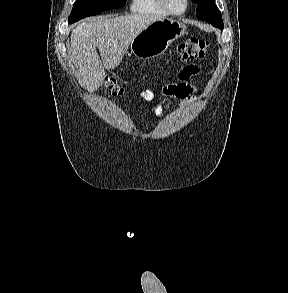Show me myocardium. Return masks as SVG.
I'll return each instance as SVG.
<instances>
[{
    "label": "myocardium",
    "mask_w": 288,
    "mask_h": 293,
    "mask_svg": "<svg viewBox=\"0 0 288 293\" xmlns=\"http://www.w3.org/2000/svg\"><path fill=\"white\" fill-rule=\"evenodd\" d=\"M158 1H159L160 5L162 6V8H163L168 14L173 15V16H180V15L184 14V13L187 11V9H188V5H189V0H185V6H184V9H183L182 11H180V12H175V11H173V10L169 7V5H168V3H167L166 0H158Z\"/></svg>",
    "instance_id": "myocardium-1"
}]
</instances>
